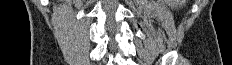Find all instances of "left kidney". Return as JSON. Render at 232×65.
Here are the masks:
<instances>
[{
  "label": "left kidney",
  "mask_w": 232,
  "mask_h": 65,
  "mask_svg": "<svg viewBox=\"0 0 232 65\" xmlns=\"http://www.w3.org/2000/svg\"><path fill=\"white\" fill-rule=\"evenodd\" d=\"M169 6H180L184 1L183 0H166Z\"/></svg>",
  "instance_id": "5707ae66"
}]
</instances>
